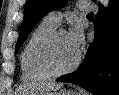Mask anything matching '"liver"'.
<instances>
[{"mask_svg":"<svg viewBox=\"0 0 119 95\" xmlns=\"http://www.w3.org/2000/svg\"><path fill=\"white\" fill-rule=\"evenodd\" d=\"M63 86V84H57L54 82H39L33 85H25L22 88H19L20 93L22 95H37L40 93H49L54 92L58 89H60Z\"/></svg>","mask_w":119,"mask_h":95,"instance_id":"6515ba94","label":"liver"}]
</instances>
